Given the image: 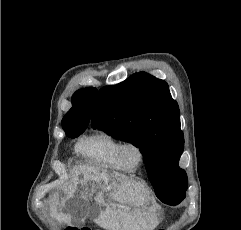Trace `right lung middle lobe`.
<instances>
[{
	"instance_id": "right-lung-middle-lobe-1",
	"label": "right lung middle lobe",
	"mask_w": 241,
	"mask_h": 230,
	"mask_svg": "<svg viewBox=\"0 0 241 230\" xmlns=\"http://www.w3.org/2000/svg\"><path fill=\"white\" fill-rule=\"evenodd\" d=\"M85 131V129H71L67 130L66 135L71 138L78 137L80 134H82Z\"/></svg>"
}]
</instances>
